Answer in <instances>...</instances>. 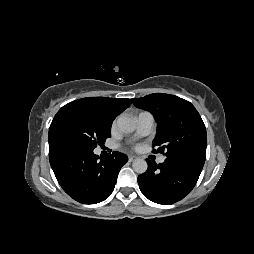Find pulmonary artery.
<instances>
[{
    "mask_svg": "<svg viewBox=\"0 0 254 254\" xmlns=\"http://www.w3.org/2000/svg\"><path fill=\"white\" fill-rule=\"evenodd\" d=\"M154 118L149 112H141L137 116V136H146L152 130ZM165 161V156L161 155L158 158L159 163Z\"/></svg>",
    "mask_w": 254,
    "mask_h": 254,
    "instance_id": "pulmonary-artery-1",
    "label": "pulmonary artery"
}]
</instances>
